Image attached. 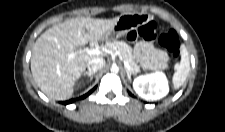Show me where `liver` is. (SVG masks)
I'll list each match as a JSON object with an SVG mask.
<instances>
[{
	"instance_id": "obj_1",
	"label": "liver",
	"mask_w": 225,
	"mask_h": 132,
	"mask_svg": "<svg viewBox=\"0 0 225 132\" xmlns=\"http://www.w3.org/2000/svg\"><path fill=\"white\" fill-rule=\"evenodd\" d=\"M119 19L78 17L46 30L36 40L31 56V72L41 91L51 99H70L88 62L102 58V54L88 55L78 48L101 40Z\"/></svg>"
}]
</instances>
